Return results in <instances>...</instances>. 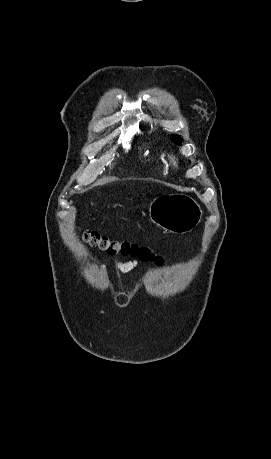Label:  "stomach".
Instances as JSON below:
<instances>
[{
	"label": "stomach",
	"mask_w": 271,
	"mask_h": 459,
	"mask_svg": "<svg viewBox=\"0 0 271 459\" xmlns=\"http://www.w3.org/2000/svg\"><path fill=\"white\" fill-rule=\"evenodd\" d=\"M153 224L171 233H188L201 222L202 210L192 198L184 194H165L149 206Z\"/></svg>",
	"instance_id": "1"
}]
</instances>
